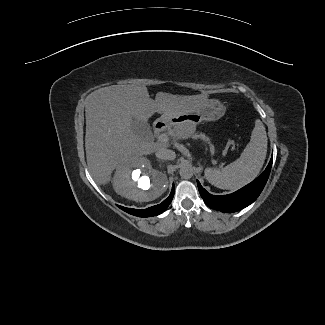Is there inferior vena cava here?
Returning a JSON list of instances; mask_svg holds the SVG:
<instances>
[{
    "label": "inferior vena cava",
    "instance_id": "1",
    "mask_svg": "<svg viewBox=\"0 0 325 325\" xmlns=\"http://www.w3.org/2000/svg\"><path fill=\"white\" fill-rule=\"evenodd\" d=\"M156 157L164 160H174L176 158V154L172 150L160 148L156 151Z\"/></svg>",
    "mask_w": 325,
    "mask_h": 325
}]
</instances>
